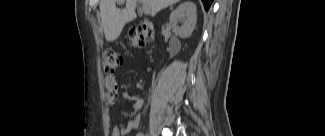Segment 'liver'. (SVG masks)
I'll list each match as a JSON object with an SVG mask.
<instances>
[{
    "instance_id": "obj_1",
    "label": "liver",
    "mask_w": 325,
    "mask_h": 136,
    "mask_svg": "<svg viewBox=\"0 0 325 136\" xmlns=\"http://www.w3.org/2000/svg\"><path fill=\"white\" fill-rule=\"evenodd\" d=\"M121 0H101L100 16L104 28L105 38L108 42L116 40L124 25L136 18L135 8L138 0H123L126 2L124 9L116 7V2ZM179 0H141L142 4L147 5L152 16L160 10L177 3Z\"/></svg>"
}]
</instances>
